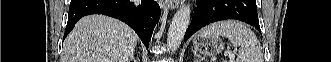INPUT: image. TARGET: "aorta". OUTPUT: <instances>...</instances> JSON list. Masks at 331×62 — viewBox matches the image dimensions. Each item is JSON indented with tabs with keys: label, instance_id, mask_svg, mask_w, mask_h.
<instances>
[{
	"label": "aorta",
	"instance_id": "1",
	"mask_svg": "<svg viewBox=\"0 0 331 62\" xmlns=\"http://www.w3.org/2000/svg\"><path fill=\"white\" fill-rule=\"evenodd\" d=\"M190 24V8L182 5L174 15L167 35V46L174 53L180 46Z\"/></svg>",
	"mask_w": 331,
	"mask_h": 62
}]
</instances>
